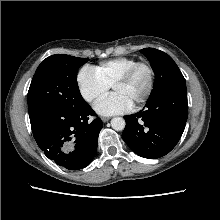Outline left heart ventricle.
I'll list each match as a JSON object with an SVG mask.
<instances>
[{
	"label": "left heart ventricle",
	"mask_w": 220,
	"mask_h": 220,
	"mask_svg": "<svg viewBox=\"0 0 220 220\" xmlns=\"http://www.w3.org/2000/svg\"><path fill=\"white\" fill-rule=\"evenodd\" d=\"M148 82V71L145 68H140L128 83L115 87L113 93L123 95L134 104L146 92Z\"/></svg>",
	"instance_id": "1"
}]
</instances>
